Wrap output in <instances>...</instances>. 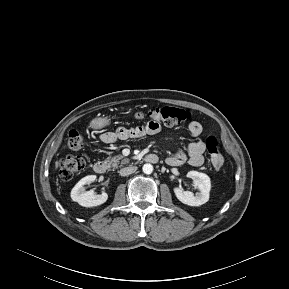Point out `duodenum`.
I'll use <instances>...</instances> for the list:
<instances>
[{
    "instance_id": "duodenum-1",
    "label": "duodenum",
    "mask_w": 289,
    "mask_h": 289,
    "mask_svg": "<svg viewBox=\"0 0 289 289\" xmlns=\"http://www.w3.org/2000/svg\"><path fill=\"white\" fill-rule=\"evenodd\" d=\"M159 160L156 154H148L145 156V161L149 163H157ZM92 169L97 174H105L108 171V166L103 161H96L92 165Z\"/></svg>"
}]
</instances>
